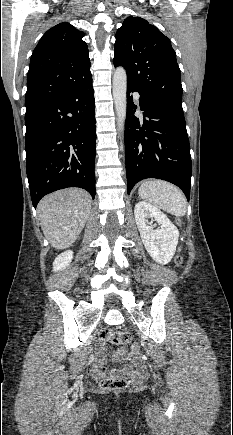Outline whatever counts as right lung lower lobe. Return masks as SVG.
<instances>
[{
  "instance_id": "98d812e1",
  "label": "right lung lower lobe",
  "mask_w": 233,
  "mask_h": 435,
  "mask_svg": "<svg viewBox=\"0 0 233 435\" xmlns=\"http://www.w3.org/2000/svg\"><path fill=\"white\" fill-rule=\"evenodd\" d=\"M91 73L26 111V169L33 206L48 193L80 187L95 197V104Z\"/></svg>"
}]
</instances>
